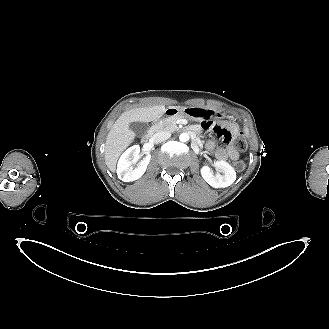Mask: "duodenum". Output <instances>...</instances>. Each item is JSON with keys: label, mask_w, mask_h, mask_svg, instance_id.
Returning <instances> with one entry per match:
<instances>
[{"label": "duodenum", "mask_w": 329, "mask_h": 329, "mask_svg": "<svg viewBox=\"0 0 329 329\" xmlns=\"http://www.w3.org/2000/svg\"><path fill=\"white\" fill-rule=\"evenodd\" d=\"M177 113H178V111L173 108H168L164 112L165 116H167V117L175 116V115H177ZM151 137H152L151 132H147L142 138L143 143H148L150 141Z\"/></svg>", "instance_id": "1"}]
</instances>
